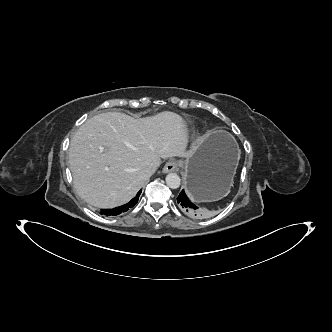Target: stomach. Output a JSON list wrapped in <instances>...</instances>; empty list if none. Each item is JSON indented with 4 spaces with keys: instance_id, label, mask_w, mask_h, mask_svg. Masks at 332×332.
<instances>
[{
    "instance_id": "obj_1",
    "label": "stomach",
    "mask_w": 332,
    "mask_h": 332,
    "mask_svg": "<svg viewBox=\"0 0 332 332\" xmlns=\"http://www.w3.org/2000/svg\"><path fill=\"white\" fill-rule=\"evenodd\" d=\"M240 150L232 135L220 130L201 138L194 154L182 162L185 189L194 202L224 198L233 184Z\"/></svg>"
}]
</instances>
